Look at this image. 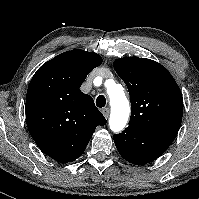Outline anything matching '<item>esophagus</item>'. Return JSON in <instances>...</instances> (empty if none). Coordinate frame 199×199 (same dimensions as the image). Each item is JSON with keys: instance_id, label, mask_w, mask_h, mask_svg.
Listing matches in <instances>:
<instances>
[{"instance_id": "1", "label": "esophagus", "mask_w": 199, "mask_h": 199, "mask_svg": "<svg viewBox=\"0 0 199 199\" xmlns=\"http://www.w3.org/2000/svg\"><path fill=\"white\" fill-rule=\"evenodd\" d=\"M102 113H103L104 117L107 119L109 117V114H110V109L105 108V109L102 110Z\"/></svg>"}]
</instances>
